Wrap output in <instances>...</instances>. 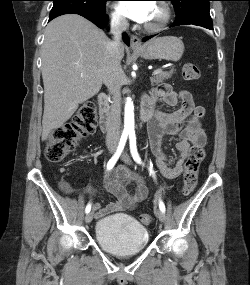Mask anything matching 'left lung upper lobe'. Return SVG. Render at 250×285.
I'll use <instances>...</instances> for the list:
<instances>
[{"instance_id":"obj_1","label":"left lung upper lobe","mask_w":250,"mask_h":285,"mask_svg":"<svg viewBox=\"0 0 250 285\" xmlns=\"http://www.w3.org/2000/svg\"><path fill=\"white\" fill-rule=\"evenodd\" d=\"M174 5L176 20L174 23L182 25L189 22L205 21L212 23L210 16L211 0H168Z\"/></svg>"}]
</instances>
